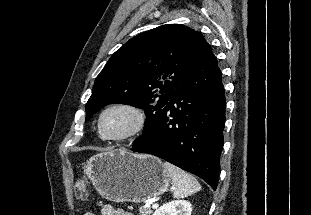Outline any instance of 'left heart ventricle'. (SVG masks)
Returning a JSON list of instances; mask_svg holds the SVG:
<instances>
[{
	"label": "left heart ventricle",
	"mask_w": 311,
	"mask_h": 215,
	"mask_svg": "<svg viewBox=\"0 0 311 215\" xmlns=\"http://www.w3.org/2000/svg\"><path fill=\"white\" fill-rule=\"evenodd\" d=\"M135 116L125 109H113L105 114L102 129L106 135H120L132 128Z\"/></svg>",
	"instance_id": "left-heart-ventricle-1"
}]
</instances>
